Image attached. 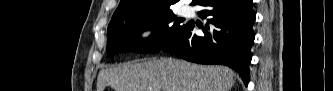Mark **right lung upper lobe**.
Instances as JSON below:
<instances>
[{
	"label": "right lung upper lobe",
	"instance_id": "obj_1",
	"mask_svg": "<svg viewBox=\"0 0 333 91\" xmlns=\"http://www.w3.org/2000/svg\"><path fill=\"white\" fill-rule=\"evenodd\" d=\"M178 0H121L110 21H125L141 16L171 10ZM202 0H193L191 5L199 4Z\"/></svg>",
	"mask_w": 333,
	"mask_h": 91
}]
</instances>
